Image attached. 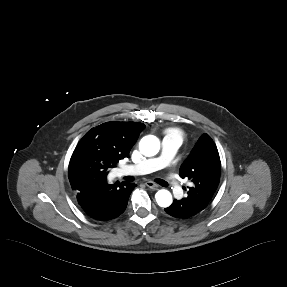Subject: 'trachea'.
<instances>
[{
    "label": "trachea",
    "mask_w": 287,
    "mask_h": 287,
    "mask_svg": "<svg viewBox=\"0 0 287 287\" xmlns=\"http://www.w3.org/2000/svg\"><path fill=\"white\" fill-rule=\"evenodd\" d=\"M156 182L158 184H160L161 186H167V183L164 180H162V179H156Z\"/></svg>",
    "instance_id": "obj_1"
}]
</instances>
